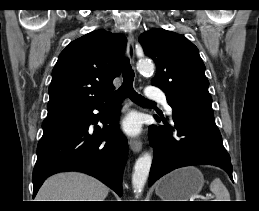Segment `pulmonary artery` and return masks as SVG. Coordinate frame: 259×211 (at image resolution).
Here are the masks:
<instances>
[{"label":"pulmonary artery","instance_id":"obj_1","mask_svg":"<svg viewBox=\"0 0 259 211\" xmlns=\"http://www.w3.org/2000/svg\"><path fill=\"white\" fill-rule=\"evenodd\" d=\"M146 96L150 100H157L161 101L165 104L166 110L169 114L172 113V108L167 104L165 101V97L162 91L155 89L154 87L150 86L146 91Z\"/></svg>","mask_w":259,"mask_h":211}]
</instances>
